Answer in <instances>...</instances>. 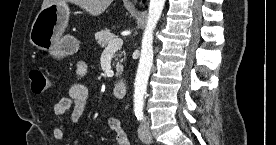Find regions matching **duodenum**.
I'll return each mask as SVG.
<instances>
[{"label":"duodenum","mask_w":276,"mask_h":145,"mask_svg":"<svg viewBox=\"0 0 276 145\" xmlns=\"http://www.w3.org/2000/svg\"><path fill=\"white\" fill-rule=\"evenodd\" d=\"M127 92V82L125 80H118L113 87V93L115 97L121 99L124 98Z\"/></svg>","instance_id":"410a0bca"}]
</instances>
